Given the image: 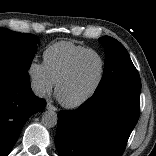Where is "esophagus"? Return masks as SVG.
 Segmentation results:
<instances>
[{
  "mask_svg": "<svg viewBox=\"0 0 156 156\" xmlns=\"http://www.w3.org/2000/svg\"><path fill=\"white\" fill-rule=\"evenodd\" d=\"M46 108L48 110L57 111V108L53 104H51L50 102H47Z\"/></svg>",
  "mask_w": 156,
  "mask_h": 156,
  "instance_id": "1",
  "label": "esophagus"
}]
</instances>
